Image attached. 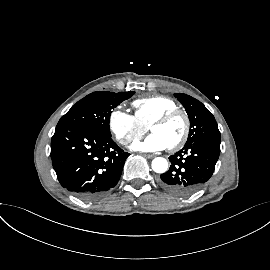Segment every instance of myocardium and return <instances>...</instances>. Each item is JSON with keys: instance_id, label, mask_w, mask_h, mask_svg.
<instances>
[{"instance_id": "f54148a6", "label": "myocardium", "mask_w": 270, "mask_h": 270, "mask_svg": "<svg viewBox=\"0 0 270 270\" xmlns=\"http://www.w3.org/2000/svg\"><path fill=\"white\" fill-rule=\"evenodd\" d=\"M176 116H181L183 118L184 123H185V127H184V132H183L182 136L180 137V139L176 143H174L173 145L167 147L170 151H176V150L180 149L181 147L184 146V144L188 140V137L190 134V128H191V123H190V119H189L188 114L179 108L169 110V111L163 113L161 116L157 117L149 125V128L151 130L154 126L165 124Z\"/></svg>"}]
</instances>
